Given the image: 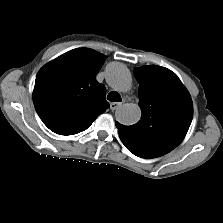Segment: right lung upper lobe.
Instances as JSON below:
<instances>
[{
  "label": "right lung upper lobe",
  "instance_id": "1",
  "mask_svg": "<svg viewBox=\"0 0 223 223\" xmlns=\"http://www.w3.org/2000/svg\"><path fill=\"white\" fill-rule=\"evenodd\" d=\"M107 56L88 48L73 49L40 69L33 91L44 124L60 135L86 130L105 112L106 88L96 75Z\"/></svg>",
  "mask_w": 223,
  "mask_h": 223
}]
</instances>
